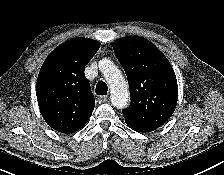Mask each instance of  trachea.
I'll use <instances>...</instances> for the list:
<instances>
[{"mask_svg":"<svg viewBox=\"0 0 224 175\" xmlns=\"http://www.w3.org/2000/svg\"><path fill=\"white\" fill-rule=\"evenodd\" d=\"M107 90H108V87H107V84L105 82L100 81V82L97 83L96 90H95L97 95H106Z\"/></svg>","mask_w":224,"mask_h":175,"instance_id":"obj_1","label":"trachea"}]
</instances>
